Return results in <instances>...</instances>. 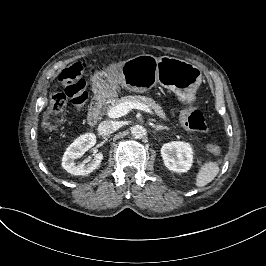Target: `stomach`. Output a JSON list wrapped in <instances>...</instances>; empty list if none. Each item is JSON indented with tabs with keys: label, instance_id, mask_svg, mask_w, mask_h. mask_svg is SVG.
Instances as JSON below:
<instances>
[{
	"label": "stomach",
	"instance_id": "0dacf381",
	"mask_svg": "<svg viewBox=\"0 0 266 266\" xmlns=\"http://www.w3.org/2000/svg\"><path fill=\"white\" fill-rule=\"evenodd\" d=\"M111 79L138 93L146 92L159 83L174 92L180 101L191 103L195 90L202 82V72L197 66L177 58L155 60L143 56L124 62L120 76L113 75Z\"/></svg>",
	"mask_w": 266,
	"mask_h": 266
}]
</instances>
